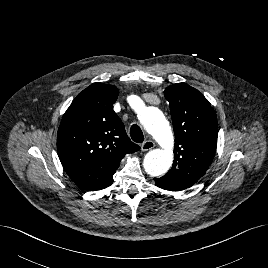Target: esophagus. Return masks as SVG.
Segmentation results:
<instances>
[{
  "mask_svg": "<svg viewBox=\"0 0 268 268\" xmlns=\"http://www.w3.org/2000/svg\"><path fill=\"white\" fill-rule=\"evenodd\" d=\"M154 146H155V144H154L153 141L147 140V141L142 143L141 150L142 151H148V150L152 149Z\"/></svg>",
  "mask_w": 268,
  "mask_h": 268,
  "instance_id": "esophagus-1",
  "label": "esophagus"
}]
</instances>
